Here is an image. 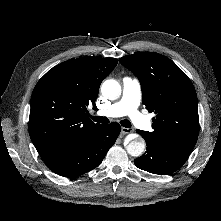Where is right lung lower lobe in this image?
Returning <instances> with one entry per match:
<instances>
[{
  "mask_svg": "<svg viewBox=\"0 0 221 221\" xmlns=\"http://www.w3.org/2000/svg\"><path fill=\"white\" fill-rule=\"evenodd\" d=\"M121 127L118 123L101 125L92 135L76 144L65 146L44 157L46 165L64 177L82 175L96 168L115 143Z\"/></svg>",
  "mask_w": 221,
  "mask_h": 221,
  "instance_id": "98d812e1",
  "label": "right lung lower lobe"
}]
</instances>
